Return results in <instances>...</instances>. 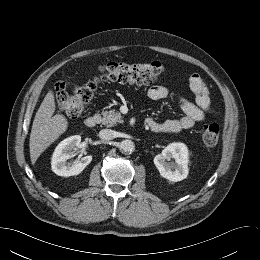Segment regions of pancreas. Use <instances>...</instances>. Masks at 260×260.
Masks as SVG:
<instances>
[{
  "mask_svg": "<svg viewBox=\"0 0 260 260\" xmlns=\"http://www.w3.org/2000/svg\"><path fill=\"white\" fill-rule=\"evenodd\" d=\"M102 115V116H100ZM98 122L102 123L106 127H112L117 123H123L122 115L117 110H103L101 114H98Z\"/></svg>",
  "mask_w": 260,
  "mask_h": 260,
  "instance_id": "cf45deb5",
  "label": "pancreas"
}]
</instances>
